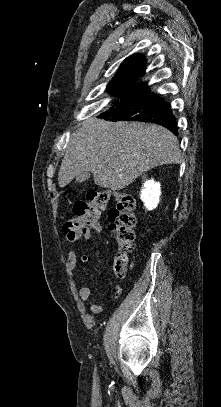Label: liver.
I'll use <instances>...</instances> for the list:
<instances>
[{
	"label": "liver",
	"mask_w": 221,
	"mask_h": 407,
	"mask_svg": "<svg viewBox=\"0 0 221 407\" xmlns=\"http://www.w3.org/2000/svg\"><path fill=\"white\" fill-rule=\"evenodd\" d=\"M181 160L176 136L162 126L92 117L72 134L58 173V184L63 188L88 171L96 185L122 190L144 172Z\"/></svg>",
	"instance_id": "liver-1"
}]
</instances>
